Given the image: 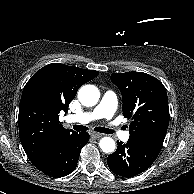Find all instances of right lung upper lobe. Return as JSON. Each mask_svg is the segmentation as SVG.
Masks as SVG:
<instances>
[{
	"label": "right lung upper lobe",
	"mask_w": 194,
	"mask_h": 194,
	"mask_svg": "<svg viewBox=\"0 0 194 194\" xmlns=\"http://www.w3.org/2000/svg\"><path fill=\"white\" fill-rule=\"evenodd\" d=\"M99 74L95 70L52 63L25 85L19 105V136L30 160L52 142L74 131L63 128L60 111L67 112L79 87Z\"/></svg>",
	"instance_id": "obj_1"
}]
</instances>
